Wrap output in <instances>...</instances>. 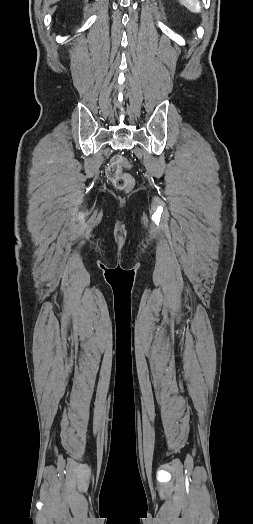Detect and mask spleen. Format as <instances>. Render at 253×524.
<instances>
[{
  "mask_svg": "<svg viewBox=\"0 0 253 524\" xmlns=\"http://www.w3.org/2000/svg\"><path fill=\"white\" fill-rule=\"evenodd\" d=\"M182 5H184L188 10L194 13H199L201 11L200 4L197 0H179Z\"/></svg>",
  "mask_w": 253,
  "mask_h": 524,
  "instance_id": "obj_1",
  "label": "spleen"
}]
</instances>
